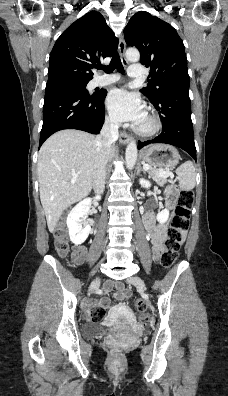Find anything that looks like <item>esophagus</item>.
<instances>
[{
    "mask_svg": "<svg viewBox=\"0 0 228 396\" xmlns=\"http://www.w3.org/2000/svg\"><path fill=\"white\" fill-rule=\"evenodd\" d=\"M125 50H126V43L123 37H120L119 45H118V52L120 54L122 63L126 66L128 64L127 59L125 58ZM131 136L126 132H120V141L122 144H126L131 141Z\"/></svg>",
    "mask_w": 228,
    "mask_h": 396,
    "instance_id": "esophagus-1",
    "label": "esophagus"
}]
</instances>
